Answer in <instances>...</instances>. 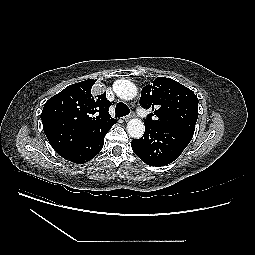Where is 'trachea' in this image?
Listing matches in <instances>:
<instances>
[{"instance_id": "3493384b", "label": "trachea", "mask_w": 255, "mask_h": 255, "mask_svg": "<svg viewBox=\"0 0 255 255\" xmlns=\"http://www.w3.org/2000/svg\"><path fill=\"white\" fill-rule=\"evenodd\" d=\"M130 112L128 106L122 102L117 103L115 108V117H123L128 115Z\"/></svg>"}]
</instances>
